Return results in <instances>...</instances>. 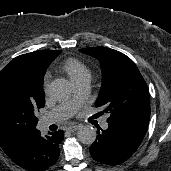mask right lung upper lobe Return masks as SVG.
<instances>
[{"label": "right lung upper lobe", "mask_w": 171, "mask_h": 171, "mask_svg": "<svg viewBox=\"0 0 171 171\" xmlns=\"http://www.w3.org/2000/svg\"><path fill=\"white\" fill-rule=\"evenodd\" d=\"M61 53V50H40L32 53H27L18 56L24 65L33 71L38 78H43L49 64ZM0 146L7 154V156L13 160L17 154L23 149L24 145H13L0 141Z\"/></svg>", "instance_id": "obj_1"}]
</instances>
